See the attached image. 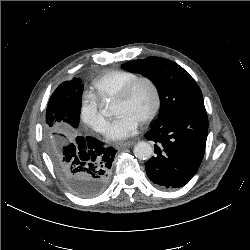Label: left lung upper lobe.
<instances>
[{"label": "left lung upper lobe", "mask_w": 250, "mask_h": 250, "mask_svg": "<svg viewBox=\"0 0 250 250\" xmlns=\"http://www.w3.org/2000/svg\"><path fill=\"white\" fill-rule=\"evenodd\" d=\"M122 67L146 76L155 84L160 97V111L155 123L188 109L204 107L202 92L195 80L173 61L148 57L127 62Z\"/></svg>", "instance_id": "1"}]
</instances>
